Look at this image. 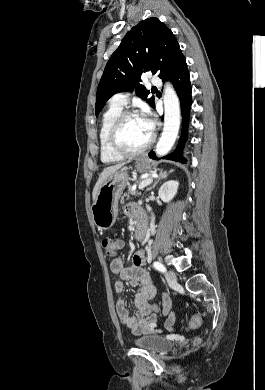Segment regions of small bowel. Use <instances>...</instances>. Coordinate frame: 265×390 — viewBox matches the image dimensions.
I'll return each instance as SVG.
<instances>
[{
    "instance_id": "obj_1",
    "label": "small bowel",
    "mask_w": 265,
    "mask_h": 390,
    "mask_svg": "<svg viewBox=\"0 0 265 390\" xmlns=\"http://www.w3.org/2000/svg\"><path fill=\"white\" fill-rule=\"evenodd\" d=\"M125 212L132 219H141L144 217L142 208L136 204L126 206ZM116 249L123 248L124 243L121 240L115 241ZM146 262V252L137 251L133 256V264L129 267L124 265L121 257H114L110 262V270L119 275L120 280L114 284L115 291L121 295L124 292V280L129 281L133 287H137L134 304L137 309L136 314L132 315L127 307L123 297H119L116 302V312L122 324L134 333H154L159 331V317L153 312L155 306L150 301L156 295V288L151 282L149 273L143 268ZM163 316L165 317V326L172 328L175 315L171 311V301L167 295L163 296Z\"/></svg>"
}]
</instances>
